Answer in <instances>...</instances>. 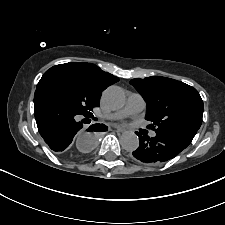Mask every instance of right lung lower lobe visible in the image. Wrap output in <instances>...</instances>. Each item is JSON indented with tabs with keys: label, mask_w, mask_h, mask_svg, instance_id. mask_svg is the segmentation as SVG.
<instances>
[{
	"label": "right lung lower lobe",
	"mask_w": 225,
	"mask_h": 225,
	"mask_svg": "<svg viewBox=\"0 0 225 225\" xmlns=\"http://www.w3.org/2000/svg\"><path fill=\"white\" fill-rule=\"evenodd\" d=\"M34 114L38 131L47 145L65 158L77 159L79 156L72 151V146L83 127L82 122L77 121L80 114L42 91H35ZM104 130L107 127L102 124H94L87 129L88 132ZM86 136L91 141L85 149L88 152L95 142V133H87Z\"/></svg>",
	"instance_id": "right-lung-lower-lobe-1"
}]
</instances>
